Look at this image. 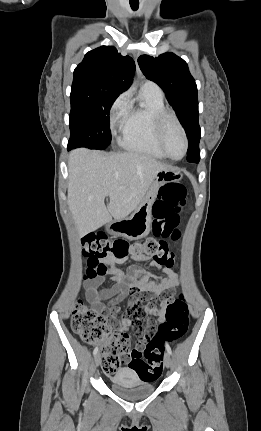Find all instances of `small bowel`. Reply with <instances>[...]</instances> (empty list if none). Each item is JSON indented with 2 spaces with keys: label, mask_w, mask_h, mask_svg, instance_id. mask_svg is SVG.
I'll return each instance as SVG.
<instances>
[{
  "label": "small bowel",
  "mask_w": 261,
  "mask_h": 431,
  "mask_svg": "<svg viewBox=\"0 0 261 431\" xmlns=\"http://www.w3.org/2000/svg\"><path fill=\"white\" fill-rule=\"evenodd\" d=\"M138 260L150 262V268L146 270L138 266H131L127 272H123L112 260H107L104 274L92 275L88 270L86 271L83 286L92 310L98 314L108 311L105 316L109 319L119 317V308L117 306L107 308L104 301L106 300L110 304L113 300L120 302L125 299L127 311L122 313V316L125 317L119 321L118 329L127 333L129 328H132V334L138 341L135 349L141 350L150 341L156 330L153 320L148 316H153L158 322L164 321L166 304L160 302L157 305L156 302L164 291L179 285V275L172 269L173 265L159 264L150 257ZM156 268H163L161 275L153 274L152 269ZM107 276L114 282V285L100 289ZM138 315L142 316L138 317Z\"/></svg>",
  "instance_id": "small-bowel-1"
}]
</instances>
